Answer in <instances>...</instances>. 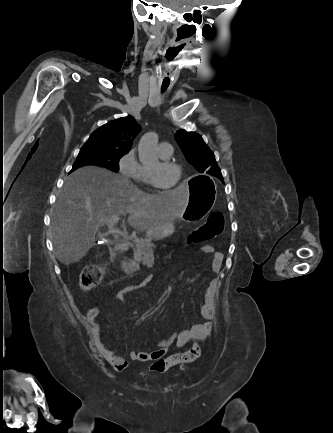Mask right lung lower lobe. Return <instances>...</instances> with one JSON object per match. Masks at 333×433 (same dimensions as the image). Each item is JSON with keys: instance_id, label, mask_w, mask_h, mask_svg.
Wrapping results in <instances>:
<instances>
[{"instance_id": "right-lung-lower-lobe-1", "label": "right lung lower lobe", "mask_w": 333, "mask_h": 433, "mask_svg": "<svg viewBox=\"0 0 333 433\" xmlns=\"http://www.w3.org/2000/svg\"><path fill=\"white\" fill-rule=\"evenodd\" d=\"M76 169H77V168H76ZM74 170H75V168H72L71 172L74 171Z\"/></svg>"}]
</instances>
